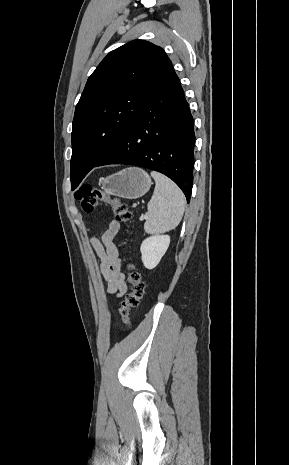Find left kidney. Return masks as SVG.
<instances>
[{
    "label": "left kidney",
    "instance_id": "obj_1",
    "mask_svg": "<svg viewBox=\"0 0 289 465\" xmlns=\"http://www.w3.org/2000/svg\"><path fill=\"white\" fill-rule=\"evenodd\" d=\"M169 244L170 236L168 235H154L143 240L140 251L145 268H155L166 253Z\"/></svg>",
    "mask_w": 289,
    "mask_h": 465
}]
</instances>
